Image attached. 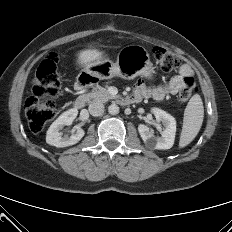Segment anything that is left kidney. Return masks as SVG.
<instances>
[{"label": "left kidney", "mask_w": 232, "mask_h": 232, "mask_svg": "<svg viewBox=\"0 0 232 232\" xmlns=\"http://www.w3.org/2000/svg\"><path fill=\"white\" fill-rule=\"evenodd\" d=\"M152 112L156 120L162 122L165 127L161 133V137H155L149 127L144 124L138 126L139 134L148 148L158 150L170 149L175 140L176 120L173 116L161 109L154 108Z\"/></svg>", "instance_id": "1"}]
</instances>
